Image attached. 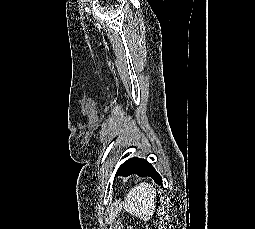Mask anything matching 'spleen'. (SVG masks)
I'll return each mask as SVG.
<instances>
[{"mask_svg": "<svg viewBox=\"0 0 255 229\" xmlns=\"http://www.w3.org/2000/svg\"><path fill=\"white\" fill-rule=\"evenodd\" d=\"M156 189L146 182L130 190L122 202L123 208L130 214L148 221L155 210Z\"/></svg>", "mask_w": 255, "mask_h": 229, "instance_id": "obj_1", "label": "spleen"}]
</instances>
